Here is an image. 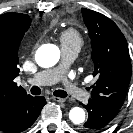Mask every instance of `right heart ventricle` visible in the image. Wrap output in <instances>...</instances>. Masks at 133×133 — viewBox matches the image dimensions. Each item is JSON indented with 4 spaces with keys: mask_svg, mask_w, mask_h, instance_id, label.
Listing matches in <instances>:
<instances>
[{
    "mask_svg": "<svg viewBox=\"0 0 133 133\" xmlns=\"http://www.w3.org/2000/svg\"><path fill=\"white\" fill-rule=\"evenodd\" d=\"M61 46L64 48H74L80 50L83 45V38L80 33L73 28L62 31L59 35Z\"/></svg>",
    "mask_w": 133,
    "mask_h": 133,
    "instance_id": "right-heart-ventricle-1",
    "label": "right heart ventricle"
}]
</instances>
